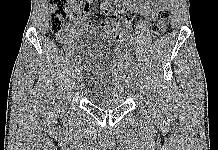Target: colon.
<instances>
[{"instance_id": "obj_1", "label": "colon", "mask_w": 218, "mask_h": 150, "mask_svg": "<svg viewBox=\"0 0 218 150\" xmlns=\"http://www.w3.org/2000/svg\"><path fill=\"white\" fill-rule=\"evenodd\" d=\"M72 0H51L50 18L51 30L58 34L62 30L64 20L71 13ZM124 16L120 12L113 13L107 20L101 23V27L109 33L115 40L122 41L128 34V29L122 27ZM169 23V11L167 9L160 10L151 26L152 37H159L165 31Z\"/></svg>"}]
</instances>
